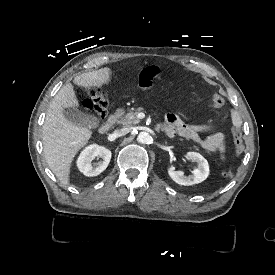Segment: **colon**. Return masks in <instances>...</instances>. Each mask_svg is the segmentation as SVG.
Segmentation results:
<instances>
[{"label":"colon","instance_id":"colon-1","mask_svg":"<svg viewBox=\"0 0 275 275\" xmlns=\"http://www.w3.org/2000/svg\"><path fill=\"white\" fill-rule=\"evenodd\" d=\"M92 94L93 98L82 97L80 98V105L86 110H95L98 117H103L106 113L108 107V99L105 98V93L100 89L93 90ZM210 105L214 107H223L225 105V98L220 94H214L210 98ZM234 141H235V152L236 155H240L243 151V142L241 139L240 132L238 130H234ZM224 177H232L233 170L225 169L223 171Z\"/></svg>","mask_w":275,"mask_h":275}]
</instances>
